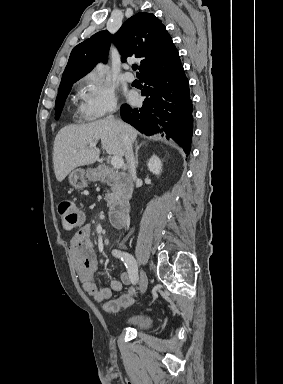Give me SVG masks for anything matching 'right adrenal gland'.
Wrapping results in <instances>:
<instances>
[{
  "label": "right adrenal gland",
  "instance_id": "obj_1",
  "mask_svg": "<svg viewBox=\"0 0 283 384\" xmlns=\"http://www.w3.org/2000/svg\"><path fill=\"white\" fill-rule=\"evenodd\" d=\"M143 144H145V142H142V144H139V146H138V142H135V148H136V150H135V160H136L135 166H136V168H138V164H139V162H138V150H139V148H141V146H143Z\"/></svg>",
  "mask_w": 283,
  "mask_h": 384
}]
</instances>
